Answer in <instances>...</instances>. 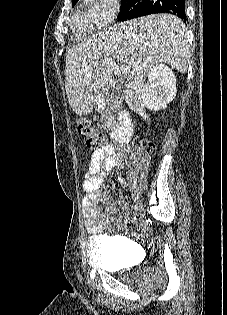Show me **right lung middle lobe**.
<instances>
[{"label": "right lung middle lobe", "instance_id": "dd1d6c3e", "mask_svg": "<svg viewBox=\"0 0 227 315\" xmlns=\"http://www.w3.org/2000/svg\"><path fill=\"white\" fill-rule=\"evenodd\" d=\"M78 0L73 1V6L77 3ZM127 1V0H121V2ZM130 1V0H129Z\"/></svg>", "mask_w": 227, "mask_h": 315}]
</instances>
